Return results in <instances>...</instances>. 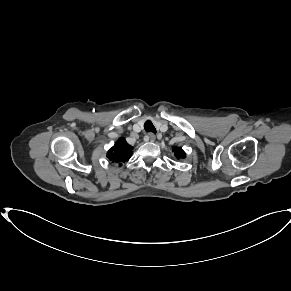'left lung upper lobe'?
<instances>
[{
    "label": "left lung upper lobe",
    "instance_id": "5c2ea615",
    "mask_svg": "<svg viewBox=\"0 0 291 291\" xmlns=\"http://www.w3.org/2000/svg\"><path fill=\"white\" fill-rule=\"evenodd\" d=\"M173 151L175 152L176 158H185V152L182 150V148L175 147Z\"/></svg>",
    "mask_w": 291,
    "mask_h": 291
}]
</instances>
